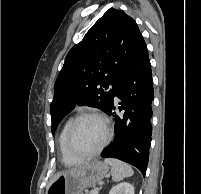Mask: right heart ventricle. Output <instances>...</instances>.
I'll return each instance as SVG.
<instances>
[{"label":"right heart ventricle","mask_w":201,"mask_h":194,"mask_svg":"<svg viewBox=\"0 0 201 194\" xmlns=\"http://www.w3.org/2000/svg\"><path fill=\"white\" fill-rule=\"evenodd\" d=\"M71 121H72V118L68 119L65 122V124L61 128V131H60L59 136H58V148H59V152H60L61 162L65 166H74V165H77L81 162V160H77V159L73 158L67 152L66 146H65L66 133H67V130H68V127H69Z\"/></svg>","instance_id":"1"}]
</instances>
